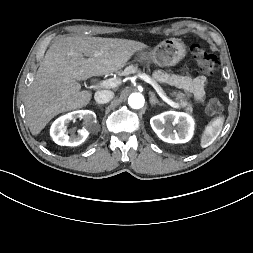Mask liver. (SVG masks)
Masks as SVG:
<instances>
[{
    "mask_svg": "<svg viewBox=\"0 0 253 253\" xmlns=\"http://www.w3.org/2000/svg\"><path fill=\"white\" fill-rule=\"evenodd\" d=\"M146 47L117 38L69 36L55 41L28 88L25 106L31 133L38 135L54 116L90 102L92 93L81 90L78 80L120 70L135 52Z\"/></svg>",
    "mask_w": 253,
    "mask_h": 253,
    "instance_id": "obj_1",
    "label": "liver"
}]
</instances>
